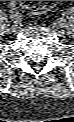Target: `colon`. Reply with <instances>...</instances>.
<instances>
[{"instance_id":"1","label":"colon","mask_w":74,"mask_h":122,"mask_svg":"<svg viewBox=\"0 0 74 122\" xmlns=\"http://www.w3.org/2000/svg\"><path fill=\"white\" fill-rule=\"evenodd\" d=\"M56 1H21L24 8L37 12L47 11Z\"/></svg>"}]
</instances>
